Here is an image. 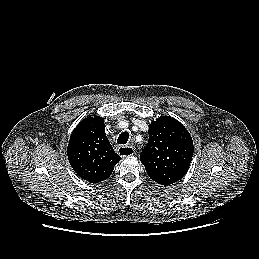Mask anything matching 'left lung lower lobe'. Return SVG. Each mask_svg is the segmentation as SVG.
<instances>
[{"instance_id":"left-lung-lower-lobe-1","label":"left lung lower lobe","mask_w":259,"mask_h":259,"mask_svg":"<svg viewBox=\"0 0 259 259\" xmlns=\"http://www.w3.org/2000/svg\"><path fill=\"white\" fill-rule=\"evenodd\" d=\"M180 179H181L180 177L174 176V175H162L161 177L155 178L153 180L158 182L161 185L166 186V185L173 184V183L177 182Z\"/></svg>"}]
</instances>
